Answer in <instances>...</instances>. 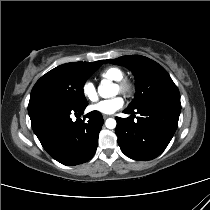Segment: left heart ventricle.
I'll list each match as a JSON object with an SVG mask.
<instances>
[{
  "label": "left heart ventricle",
  "mask_w": 210,
  "mask_h": 210,
  "mask_svg": "<svg viewBox=\"0 0 210 210\" xmlns=\"http://www.w3.org/2000/svg\"><path fill=\"white\" fill-rule=\"evenodd\" d=\"M119 92V90H118V88L115 86L114 87V93H118Z\"/></svg>",
  "instance_id": "1"
}]
</instances>
